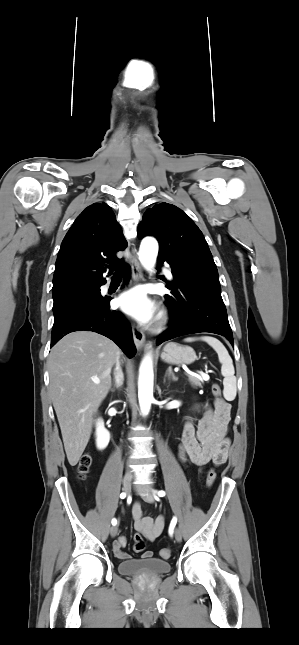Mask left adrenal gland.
Returning a JSON list of instances; mask_svg holds the SVG:
<instances>
[{
	"mask_svg": "<svg viewBox=\"0 0 299 645\" xmlns=\"http://www.w3.org/2000/svg\"><path fill=\"white\" fill-rule=\"evenodd\" d=\"M167 375H168L169 377H171L173 381H177V378H176V376L174 375V373H173V371H172V368H171V367H169V368H168L166 376H167Z\"/></svg>",
	"mask_w": 299,
	"mask_h": 645,
	"instance_id": "a2214340",
	"label": "left adrenal gland"
}]
</instances>
